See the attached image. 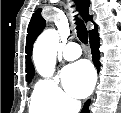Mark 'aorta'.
Instances as JSON below:
<instances>
[{"instance_id": "1", "label": "aorta", "mask_w": 121, "mask_h": 113, "mask_svg": "<svg viewBox=\"0 0 121 113\" xmlns=\"http://www.w3.org/2000/svg\"><path fill=\"white\" fill-rule=\"evenodd\" d=\"M59 35L55 29H47L36 40L33 48V61L42 77H51L55 71Z\"/></svg>"}]
</instances>
